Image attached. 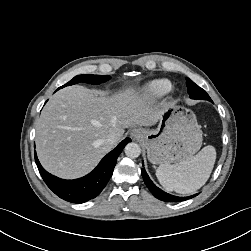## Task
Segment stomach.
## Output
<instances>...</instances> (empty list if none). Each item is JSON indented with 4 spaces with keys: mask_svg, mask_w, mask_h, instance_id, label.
Here are the masks:
<instances>
[{
    "mask_svg": "<svg viewBox=\"0 0 251 251\" xmlns=\"http://www.w3.org/2000/svg\"><path fill=\"white\" fill-rule=\"evenodd\" d=\"M141 141L153 164H171L191 158L202 145V132L195 115L183 106L170 103L156 129H142Z\"/></svg>",
    "mask_w": 251,
    "mask_h": 251,
    "instance_id": "stomach-1",
    "label": "stomach"
}]
</instances>
